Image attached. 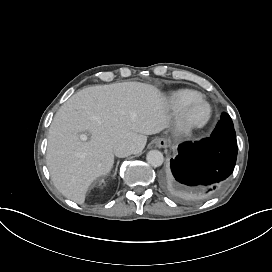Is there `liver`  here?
Segmentation results:
<instances>
[{"label": "liver", "mask_w": 272, "mask_h": 272, "mask_svg": "<svg viewBox=\"0 0 272 272\" xmlns=\"http://www.w3.org/2000/svg\"><path fill=\"white\" fill-rule=\"evenodd\" d=\"M159 92L140 83H117L84 88L73 94L55 114L48 134L47 167L58 191L85 202L93 182L114 167V147L123 140L146 145V135L167 127ZM87 131L88 141L79 133Z\"/></svg>", "instance_id": "1"}]
</instances>
